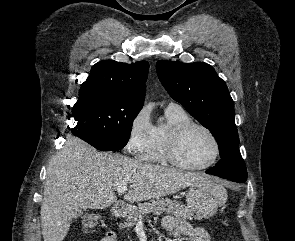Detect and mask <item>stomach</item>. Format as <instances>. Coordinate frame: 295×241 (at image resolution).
I'll use <instances>...</instances> for the list:
<instances>
[{"instance_id":"0dacf381","label":"stomach","mask_w":295,"mask_h":241,"mask_svg":"<svg viewBox=\"0 0 295 241\" xmlns=\"http://www.w3.org/2000/svg\"><path fill=\"white\" fill-rule=\"evenodd\" d=\"M188 208L198 218L214 216L227 200L226 189L213 180L191 185L186 196Z\"/></svg>"}]
</instances>
